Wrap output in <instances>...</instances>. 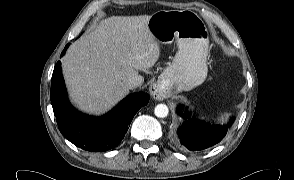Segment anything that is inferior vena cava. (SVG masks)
Segmentation results:
<instances>
[{"label": "inferior vena cava", "mask_w": 294, "mask_h": 180, "mask_svg": "<svg viewBox=\"0 0 294 180\" xmlns=\"http://www.w3.org/2000/svg\"><path fill=\"white\" fill-rule=\"evenodd\" d=\"M144 82V78L141 75H134L127 81V86L129 89H135L141 86Z\"/></svg>", "instance_id": "602c4592"}]
</instances>
